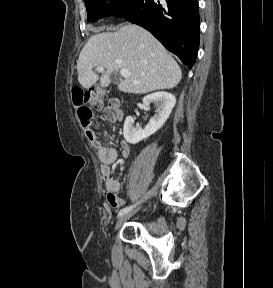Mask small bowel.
<instances>
[{
	"label": "small bowel",
	"instance_id": "obj_1",
	"mask_svg": "<svg viewBox=\"0 0 273 288\" xmlns=\"http://www.w3.org/2000/svg\"><path fill=\"white\" fill-rule=\"evenodd\" d=\"M118 105L115 102L109 103L104 109V118L111 123L119 120L117 113ZM96 127L85 128L86 136L91 144L96 148L98 158L101 162V173L103 178V185L107 192V202L110 207L118 208L124 204L123 199L118 195L120 190L119 181L113 177L111 172V165L117 159V151L112 147L102 145L96 134ZM122 155L126 158L129 155V146L127 143H122Z\"/></svg>",
	"mask_w": 273,
	"mask_h": 288
}]
</instances>
